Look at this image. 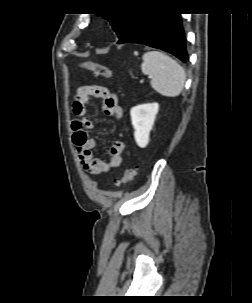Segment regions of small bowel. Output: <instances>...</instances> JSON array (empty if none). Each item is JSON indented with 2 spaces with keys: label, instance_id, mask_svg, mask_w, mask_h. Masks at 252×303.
<instances>
[{
  "label": "small bowel",
  "instance_id": "obj_1",
  "mask_svg": "<svg viewBox=\"0 0 252 303\" xmlns=\"http://www.w3.org/2000/svg\"><path fill=\"white\" fill-rule=\"evenodd\" d=\"M93 98H100L102 100L104 113L112 117L117 124L122 121L123 107L119 103L117 95L107 87L101 85L85 84L80 86L76 92L74 112L82 116V118L75 121L72 125L74 132L73 143L83 168L90 174L103 175L122 164L125 143L119 140L118 135L115 134L107 158L105 160L94 158L93 149L96 143L87 133V130L94 127V122L90 118L84 117L87 105Z\"/></svg>",
  "mask_w": 252,
  "mask_h": 303
}]
</instances>
